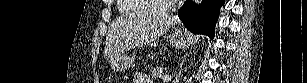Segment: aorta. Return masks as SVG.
<instances>
[{"label":"aorta","instance_id":"762f6f07","mask_svg":"<svg viewBox=\"0 0 307 83\" xmlns=\"http://www.w3.org/2000/svg\"><path fill=\"white\" fill-rule=\"evenodd\" d=\"M201 2V0H196V4H199Z\"/></svg>","mask_w":307,"mask_h":83}]
</instances>
